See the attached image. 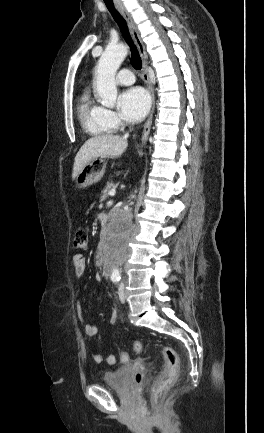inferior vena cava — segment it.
<instances>
[{"instance_id":"1","label":"inferior vena cava","mask_w":264,"mask_h":433,"mask_svg":"<svg viewBox=\"0 0 264 433\" xmlns=\"http://www.w3.org/2000/svg\"><path fill=\"white\" fill-rule=\"evenodd\" d=\"M115 252H126V251H115Z\"/></svg>"}]
</instances>
